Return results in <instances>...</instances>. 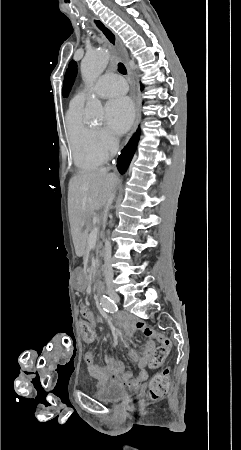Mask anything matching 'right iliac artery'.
<instances>
[{
	"label": "right iliac artery",
	"instance_id": "82829eb1",
	"mask_svg": "<svg viewBox=\"0 0 241 450\" xmlns=\"http://www.w3.org/2000/svg\"><path fill=\"white\" fill-rule=\"evenodd\" d=\"M103 310L106 312L114 313L118 310L117 305L108 296L103 295L101 298V303Z\"/></svg>",
	"mask_w": 241,
	"mask_h": 450
}]
</instances>
